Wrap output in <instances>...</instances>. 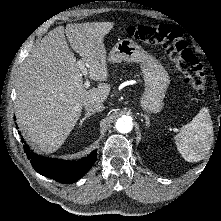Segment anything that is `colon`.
Segmentation results:
<instances>
[{"label":"colon","mask_w":221,"mask_h":221,"mask_svg":"<svg viewBox=\"0 0 221 221\" xmlns=\"http://www.w3.org/2000/svg\"><path fill=\"white\" fill-rule=\"evenodd\" d=\"M127 34L149 45H161L192 90L204 93L206 80L202 65L183 39L181 31L168 24L129 26Z\"/></svg>","instance_id":"5ec220e1"}]
</instances>
